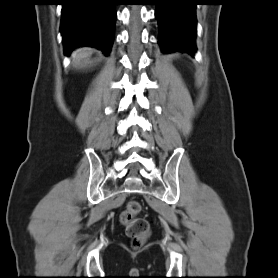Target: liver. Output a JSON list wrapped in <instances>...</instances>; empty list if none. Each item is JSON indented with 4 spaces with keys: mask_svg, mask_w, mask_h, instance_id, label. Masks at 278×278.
<instances>
[{
    "mask_svg": "<svg viewBox=\"0 0 278 278\" xmlns=\"http://www.w3.org/2000/svg\"><path fill=\"white\" fill-rule=\"evenodd\" d=\"M90 53L86 49H79L75 53V57L84 58L87 57Z\"/></svg>",
    "mask_w": 278,
    "mask_h": 278,
    "instance_id": "1",
    "label": "liver"
}]
</instances>
